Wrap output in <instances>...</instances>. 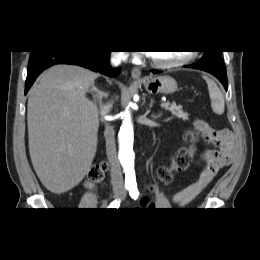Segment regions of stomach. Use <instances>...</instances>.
I'll list each match as a JSON object with an SVG mask.
<instances>
[{"instance_id": "0dacf381", "label": "stomach", "mask_w": 260, "mask_h": 260, "mask_svg": "<svg viewBox=\"0 0 260 260\" xmlns=\"http://www.w3.org/2000/svg\"><path fill=\"white\" fill-rule=\"evenodd\" d=\"M143 83L150 94H172L178 89L176 80L168 75L149 77Z\"/></svg>"}]
</instances>
